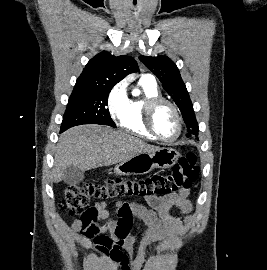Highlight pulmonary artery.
Masks as SVG:
<instances>
[{
  "label": "pulmonary artery",
  "instance_id": "pulmonary-artery-1",
  "mask_svg": "<svg viewBox=\"0 0 267 270\" xmlns=\"http://www.w3.org/2000/svg\"><path fill=\"white\" fill-rule=\"evenodd\" d=\"M141 79L155 82V78H154V76L151 75V74H144V75L141 77Z\"/></svg>",
  "mask_w": 267,
  "mask_h": 270
}]
</instances>
